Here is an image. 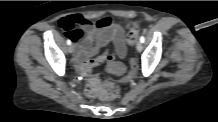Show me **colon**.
I'll return each mask as SVG.
<instances>
[{"label":"colon","instance_id":"1","mask_svg":"<svg viewBox=\"0 0 218 122\" xmlns=\"http://www.w3.org/2000/svg\"><path fill=\"white\" fill-rule=\"evenodd\" d=\"M62 27L67 31L68 35L78 37L80 33L78 31H72V26L69 23L64 22ZM140 26L138 24H132L127 34L128 43L132 44L136 41ZM115 54L111 53L110 49H103L102 53H97L95 57H91L85 63L81 64L77 68V75L79 78L88 77L86 85V94L90 97H99L105 100L114 99L118 96L120 89L119 87L111 82L103 83L98 74H93V71L97 70L100 66H112L115 62ZM131 70L128 71L127 77L118 76L117 82L119 84L131 85L134 82L136 76L137 63L134 59L131 60Z\"/></svg>","mask_w":218,"mask_h":122}]
</instances>
